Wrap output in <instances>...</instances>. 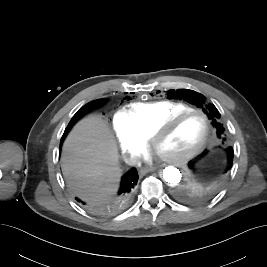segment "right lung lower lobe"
<instances>
[{
	"mask_svg": "<svg viewBox=\"0 0 267 267\" xmlns=\"http://www.w3.org/2000/svg\"><path fill=\"white\" fill-rule=\"evenodd\" d=\"M97 105H98V103H88L85 106H83L73 116V118L71 119L67 128L64 131V134L62 136L61 143H60V148H61V144H62L65 136L67 135V133L69 132L71 127L76 123V121H78L85 114L92 111ZM138 178H139V176H138V172H137L136 168H131L127 173H125L122 176L121 185H120V189L118 192V195H120V197H119L120 203L126 202L129 199L130 194L132 193V191L134 190V188L138 182ZM77 200L79 202H81L82 204H85L83 201H81L79 199H77Z\"/></svg>",
	"mask_w": 267,
	"mask_h": 267,
	"instance_id": "98d812e1",
	"label": "right lung lower lobe"
}]
</instances>
